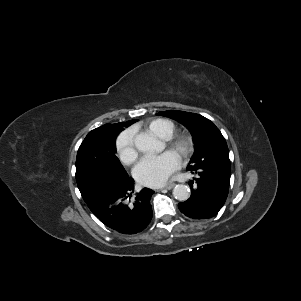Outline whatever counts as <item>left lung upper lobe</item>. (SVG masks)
Returning <instances> with one entry per match:
<instances>
[{
	"mask_svg": "<svg viewBox=\"0 0 301 301\" xmlns=\"http://www.w3.org/2000/svg\"><path fill=\"white\" fill-rule=\"evenodd\" d=\"M158 115L185 125L192 134L194 153L187 170L216 169L231 172L229 151L219 129L207 118L184 111L169 110Z\"/></svg>",
	"mask_w": 301,
	"mask_h": 301,
	"instance_id": "5c2ea615",
	"label": "left lung upper lobe"
}]
</instances>
